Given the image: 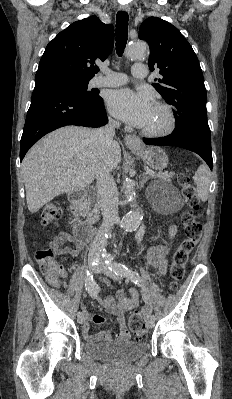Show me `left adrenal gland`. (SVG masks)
I'll return each instance as SVG.
<instances>
[{"label":"left adrenal gland","instance_id":"left-adrenal-gland-1","mask_svg":"<svg viewBox=\"0 0 232 399\" xmlns=\"http://www.w3.org/2000/svg\"><path fill=\"white\" fill-rule=\"evenodd\" d=\"M145 178H142L141 182H139V188H144Z\"/></svg>","mask_w":232,"mask_h":399}]
</instances>
